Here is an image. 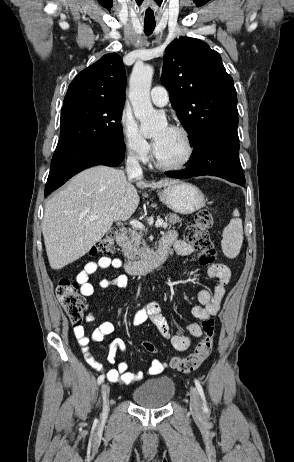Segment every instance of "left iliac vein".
I'll return each instance as SVG.
<instances>
[{
	"label": "left iliac vein",
	"mask_w": 294,
	"mask_h": 462,
	"mask_svg": "<svg viewBox=\"0 0 294 462\" xmlns=\"http://www.w3.org/2000/svg\"><path fill=\"white\" fill-rule=\"evenodd\" d=\"M190 409L195 415H200L202 413L199 393L194 387L190 388Z\"/></svg>",
	"instance_id": "1"
}]
</instances>
